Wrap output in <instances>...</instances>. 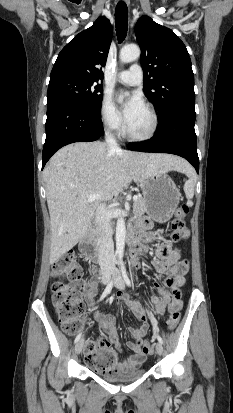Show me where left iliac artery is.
<instances>
[{"instance_id":"left-iliac-artery-1","label":"left iliac artery","mask_w":233,"mask_h":413,"mask_svg":"<svg viewBox=\"0 0 233 413\" xmlns=\"http://www.w3.org/2000/svg\"><path fill=\"white\" fill-rule=\"evenodd\" d=\"M121 271H122V275H123V278H124L125 283H126L128 286H131V281H130L128 275H127L125 266H122V267H121ZM154 326H156V325L154 324ZM156 337H157L158 341H159L161 344H163V339H162L158 334H156Z\"/></svg>"}]
</instances>
